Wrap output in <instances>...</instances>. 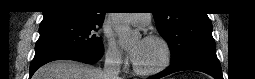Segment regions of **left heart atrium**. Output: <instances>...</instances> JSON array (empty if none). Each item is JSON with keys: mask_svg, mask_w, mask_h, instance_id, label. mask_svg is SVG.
I'll return each mask as SVG.
<instances>
[{"mask_svg": "<svg viewBox=\"0 0 255 79\" xmlns=\"http://www.w3.org/2000/svg\"><path fill=\"white\" fill-rule=\"evenodd\" d=\"M141 50V45H138L137 47H135L134 49H132V51L130 52L131 54V58L133 61H135L140 53Z\"/></svg>", "mask_w": 255, "mask_h": 79, "instance_id": "1", "label": "left heart atrium"}]
</instances>
